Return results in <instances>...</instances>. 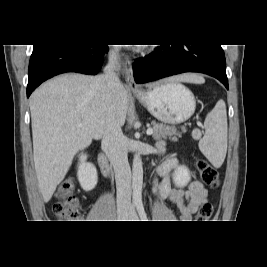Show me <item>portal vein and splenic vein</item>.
Returning <instances> with one entry per match:
<instances>
[{
    "label": "portal vein and splenic vein",
    "mask_w": 267,
    "mask_h": 267,
    "mask_svg": "<svg viewBox=\"0 0 267 267\" xmlns=\"http://www.w3.org/2000/svg\"><path fill=\"white\" fill-rule=\"evenodd\" d=\"M80 126H81V124H80ZM147 135H152L153 134V129L152 128H149V129H147Z\"/></svg>",
    "instance_id": "portal-vein-and-splenic-vein-1"
}]
</instances>
